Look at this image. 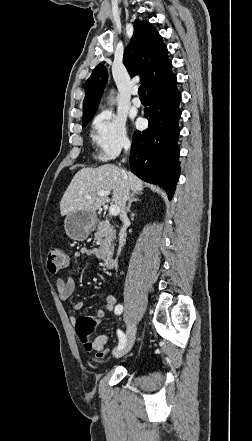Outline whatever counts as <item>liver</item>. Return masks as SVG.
I'll list each match as a JSON object with an SVG mask.
<instances>
[{"mask_svg":"<svg viewBox=\"0 0 252 441\" xmlns=\"http://www.w3.org/2000/svg\"><path fill=\"white\" fill-rule=\"evenodd\" d=\"M125 188L138 194L142 192L144 186L132 172L124 171L112 164L97 168H82L75 174L61 199V216L74 211L95 212L108 201L107 196L97 195L102 190L113 192L112 201L121 210ZM88 195L91 198H87Z\"/></svg>","mask_w":252,"mask_h":441,"instance_id":"obj_1","label":"liver"}]
</instances>
